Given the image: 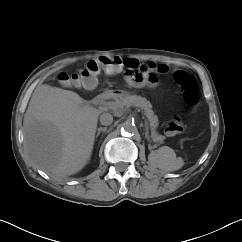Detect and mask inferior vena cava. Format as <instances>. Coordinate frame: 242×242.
Segmentation results:
<instances>
[{
    "mask_svg": "<svg viewBox=\"0 0 242 242\" xmlns=\"http://www.w3.org/2000/svg\"><path fill=\"white\" fill-rule=\"evenodd\" d=\"M100 122L104 126H108L113 122V116L110 113H102L100 116Z\"/></svg>",
    "mask_w": 242,
    "mask_h": 242,
    "instance_id": "602c4592",
    "label": "inferior vena cava"
}]
</instances>
